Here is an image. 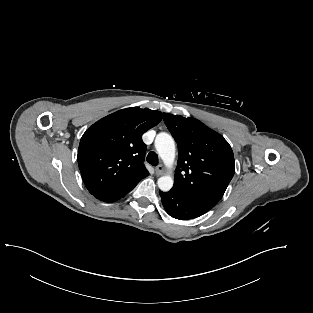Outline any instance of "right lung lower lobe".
I'll list each match as a JSON object with an SVG mask.
<instances>
[{
    "label": "right lung lower lobe",
    "instance_id": "1",
    "mask_svg": "<svg viewBox=\"0 0 313 313\" xmlns=\"http://www.w3.org/2000/svg\"><path fill=\"white\" fill-rule=\"evenodd\" d=\"M139 181L140 180H136L120 187L96 193L94 194V197L108 203L115 202L128 194L139 183Z\"/></svg>",
    "mask_w": 313,
    "mask_h": 313
}]
</instances>
